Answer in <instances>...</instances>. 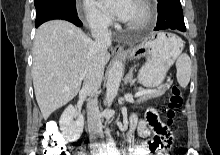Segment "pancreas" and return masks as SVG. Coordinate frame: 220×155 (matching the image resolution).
<instances>
[{
    "mask_svg": "<svg viewBox=\"0 0 220 155\" xmlns=\"http://www.w3.org/2000/svg\"><path fill=\"white\" fill-rule=\"evenodd\" d=\"M170 85H171V83H168V84L162 86L161 88H159L158 90H156L153 93L141 96L138 99V102L140 103V102L146 101V100L151 99V98H157V97L162 96L163 94H165L166 90L170 88Z\"/></svg>",
    "mask_w": 220,
    "mask_h": 155,
    "instance_id": "pancreas-1",
    "label": "pancreas"
}]
</instances>
